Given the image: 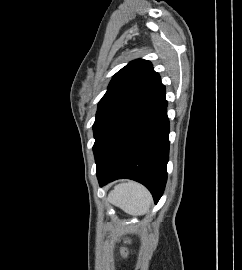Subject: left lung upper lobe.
<instances>
[{
  "label": "left lung upper lobe",
  "mask_w": 242,
  "mask_h": 270,
  "mask_svg": "<svg viewBox=\"0 0 242 270\" xmlns=\"http://www.w3.org/2000/svg\"><path fill=\"white\" fill-rule=\"evenodd\" d=\"M160 84L159 74L149 61L143 59L131 61L113 76L107 92L98 104L93 125L94 154L112 127Z\"/></svg>",
  "instance_id": "5c2ea615"
}]
</instances>
